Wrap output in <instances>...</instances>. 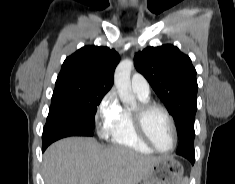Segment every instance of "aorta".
<instances>
[{"mask_svg": "<svg viewBox=\"0 0 235 184\" xmlns=\"http://www.w3.org/2000/svg\"><path fill=\"white\" fill-rule=\"evenodd\" d=\"M133 68V62L131 60H123L118 64L114 74V84L119 92V98L124 106H133L136 104V100L131 90V70Z\"/></svg>", "mask_w": 235, "mask_h": 184, "instance_id": "aorta-1", "label": "aorta"}]
</instances>
